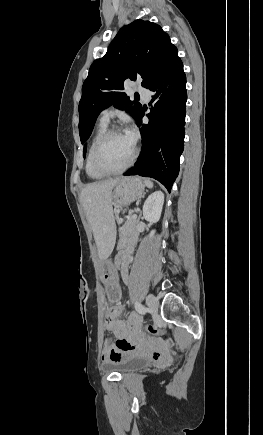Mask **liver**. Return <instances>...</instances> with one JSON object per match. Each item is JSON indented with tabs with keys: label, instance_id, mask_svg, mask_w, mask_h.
<instances>
[{
	"label": "liver",
	"instance_id": "6515ba94",
	"mask_svg": "<svg viewBox=\"0 0 263 435\" xmlns=\"http://www.w3.org/2000/svg\"><path fill=\"white\" fill-rule=\"evenodd\" d=\"M120 178L88 184L81 192L80 202L93 231L100 260H106L113 251L116 225L113 214L112 190Z\"/></svg>",
	"mask_w": 263,
	"mask_h": 435
}]
</instances>
